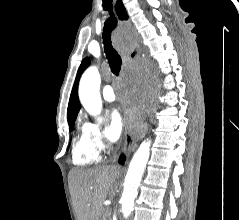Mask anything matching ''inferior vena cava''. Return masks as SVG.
<instances>
[{"mask_svg": "<svg viewBox=\"0 0 239 220\" xmlns=\"http://www.w3.org/2000/svg\"><path fill=\"white\" fill-rule=\"evenodd\" d=\"M108 148L111 149L112 148V145L110 143H108Z\"/></svg>", "mask_w": 239, "mask_h": 220, "instance_id": "obj_1", "label": "inferior vena cava"}]
</instances>
